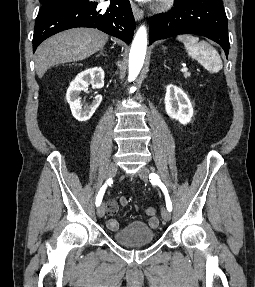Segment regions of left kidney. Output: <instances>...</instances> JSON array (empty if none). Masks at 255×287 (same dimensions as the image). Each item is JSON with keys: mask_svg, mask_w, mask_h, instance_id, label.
<instances>
[{"mask_svg": "<svg viewBox=\"0 0 255 287\" xmlns=\"http://www.w3.org/2000/svg\"><path fill=\"white\" fill-rule=\"evenodd\" d=\"M164 104L167 116H170L173 120H178L181 124L191 122L193 116L192 104L181 88H177L174 84H168Z\"/></svg>", "mask_w": 255, "mask_h": 287, "instance_id": "obj_1", "label": "left kidney"}]
</instances>
